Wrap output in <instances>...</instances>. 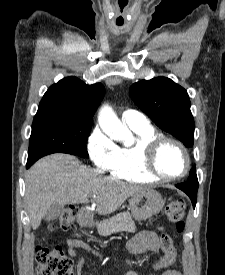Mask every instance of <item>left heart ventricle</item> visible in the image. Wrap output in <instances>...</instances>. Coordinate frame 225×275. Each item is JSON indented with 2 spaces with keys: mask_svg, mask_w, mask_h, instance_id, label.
<instances>
[{
  "mask_svg": "<svg viewBox=\"0 0 225 275\" xmlns=\"http://www.w3.org/2000/svg\"><path fill=\"white\" fill-rule=\"evenodd\" d=\"M157 167L164 175H177L184 167V158L180 149L172 144H165L157 155Z\"/></svg>",
  "mask_w": 225,
  "mask_h": 275,
  "instance_id": "obj_1",
  "label": "left heart ventricle"
}]
</instances>
